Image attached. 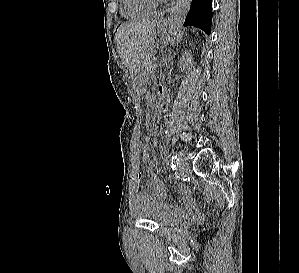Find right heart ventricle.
Listing matches in <instances>:
<instances>
[{"instance_id": "e07e8e85", "label": "right heart ventricle", "mask_w": 299, "mask_h": 273, "mask_svg": "<svg viewBox=\"0 0 299 273\" xmlns=\"http://www.w3.org/2000/svg\"><path fill=\"white\" fill-rule=\"evenodd\" d=\"M121 14L128 20L139 21L148 18L152 11L142 0H121Z\"/></svg>"}]
</instances>
